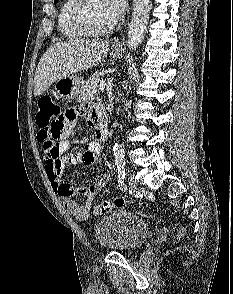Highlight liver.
Segmentation results:
<instances>
[{"instance_id":"liver-1","label":"liver","mask_w":233,"mask_h":294,"mask_svg":"<svg viewBox=\"0 0 233 294\" xmlns=\"http://www.w3.org/2000/svg\"><path fill=\"white\" fill-rule=\"evenodd\" d=\"M108 51L109 43L102 40H70L51 45L36 68L34 95H41L60 78L99 64Z\"/></svg>"}]
</instances>
